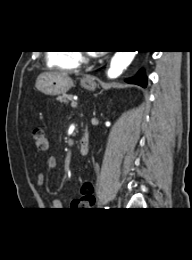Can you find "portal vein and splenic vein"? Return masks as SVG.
Returning a JSON list of instances; mask_svg holds the SVG:
<instances>
[{"label":"portal vein and splenic vein","instance_id":"18ae733b","mask_svg":"<svg viewBox=\"0 0 192 260\" xmlns=\"http://www.w3.org/2000/svg\"><path fill=\"white\" fill-rule=\"evenodd\" d=\"M77 105H78V104H77V102H76V101H72V102H71V107H72V108H76V107H77Z\"/></svg>","mask_w":192,"mask_h":260}]
</instances>
